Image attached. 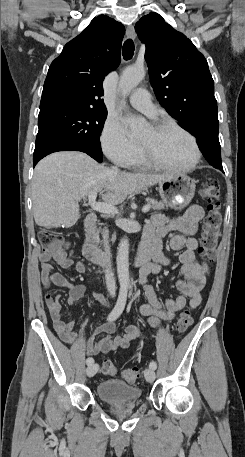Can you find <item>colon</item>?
<instances>
[{"label":"colon","mask_w":245,"mask_h":457,"mask_svg":"<svg viewBox=\"0 0 245 457\" xmlns=\"http://www.w3.org/2000/svg\"><path fill=\"white\" fill-rule=\"evenodd\" d=\"M220 186L216 179H209L203 183L201 195L208 202V214L204 221L202 244L199 252L207 261H212L220 236L222 215L219 203ZM38 239L42 246L43 254L49 257L56 255L63 247L62 237L48 229H40ZM193 323L191 312L186 309L178 317L176 328L179 332L186 331ZM116 371L110 360L103 363V372L112 375ZM122 378L127 382H134L140 377V370L136 367L123 369Z\"/></svg>","instance_id":"1"}]
</instances>
